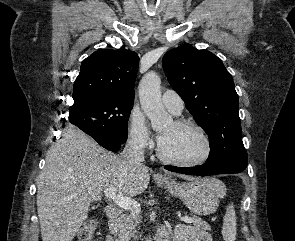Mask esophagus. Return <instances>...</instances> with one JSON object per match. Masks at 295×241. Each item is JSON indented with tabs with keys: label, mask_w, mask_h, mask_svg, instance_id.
<instances>
[{
	"label": "esophagus",
	"mask_w": 295,
	"mask_h": 241,
	"mask_svg": "<svg viewBox=\"0 0 295 241\" xmlns=\"http://www.w3.org/2000/svg\"><path fill=\"white\" fill-rule=\"evenodd\" d=\"M156 176L159 177V178H167L165 175L160 174V173H158Z\"/></svg>",
	"instance_id": "obj_1"
}]
</instances>
